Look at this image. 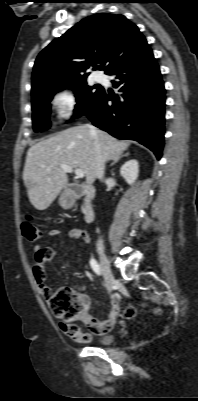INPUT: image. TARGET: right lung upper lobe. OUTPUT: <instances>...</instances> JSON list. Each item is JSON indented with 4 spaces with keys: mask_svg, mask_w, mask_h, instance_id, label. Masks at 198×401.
<instances>
[{
    "mask_svg": "<svg viewBox=\"0 0 198 401\" xmlns=\"http://www.w3.org/2000/svg\"><path fill=\"white\" fill-rule=\"evenodd\" d=\"M146 45L137 26L123 15L87 17L40 52L33 68L32 99L86 81L88 69L98 63L108 74Z\"/></svg>",
    "mask_w": 198,
    "mask_h": 401,
    "instance_id": "right-lung-upper-lobe-1",
    "label": "right lung upper lobe"
}]
</instances>
